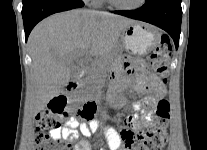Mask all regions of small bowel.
<instances>
[{
  "label": "small bowel",
  "instance_id": "obj_1",
  "mask_svg": "<svg viewBox=\"0 0 207 150\" xmlns=\"http://www.w3.org/2000/svg\"><path fill=\"white\" fill-rule=\"evenodd\" d=\"M139 70L145 74L147 71L146 65L144 63H139ZM130 75L134 74V70H129ZM154 80H157V86H154ZM128 84V80L124 77H116L109 91V100L114 107H119L124 103V99L119 97V92L122 91ZM134 88L140 94H146L148 91H152L153 95L149 99H159L162 98L165 93V87L161 80L153 75L146 76L142 75L135 79ZM148 99V100H149ZM134 110H138V105L133 106ZM151 110H145L142 112L144 121L148 120L151 116ZM144 121H140L138 114H131L126 119V125L136 131H141L144 126ZM100 129L105 139L109 150H124L122 149L124 140L122 134L116 132L114 128L106 125L98 120H91L87 123L79 122L77 117L72 116L69 118L65 126H61L49 132V135L54 138H62L69 141H74L78 138L79 134L82 138L78 143L72 144V150H90V145L88 142V137L91 134Z\"/></svg>",
  "mask_w": 207,
  "mask_h": 150
}]
</instances>
